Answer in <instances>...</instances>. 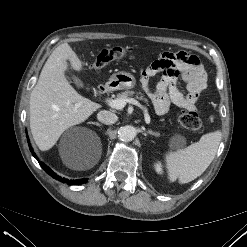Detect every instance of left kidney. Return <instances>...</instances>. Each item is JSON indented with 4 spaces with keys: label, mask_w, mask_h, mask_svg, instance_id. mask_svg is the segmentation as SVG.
<instances>
[{
    "label": "left kidney",
    "mask_w": 247,
    "mask_h": 247,
    "mask_svg": "<svg viewBox=\"0 0 247 247\" xmlns=\"http://www.w3.org/2000/svg\"><path fill=\"white\" fill-rule=\"evenodd\" d=\"M155 169H156V172H157V173H159V174L162 173L161 164L157 163V164L155 165Z\"/></svg>",
    "instance_id": "1"
}]
</instances>
